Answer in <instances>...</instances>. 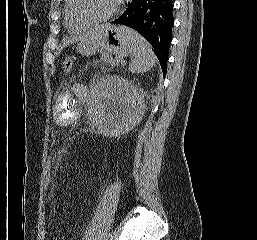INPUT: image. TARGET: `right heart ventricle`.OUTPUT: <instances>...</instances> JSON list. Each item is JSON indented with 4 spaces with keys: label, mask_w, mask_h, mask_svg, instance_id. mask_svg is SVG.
Segmentation results:
<instances>
[{
    "label": "right heart ventricle",
    "mask_w": 257,
    "mask_h": 240,
    "mask_svg": "<svg viewBox=\"0 0 257 240\" xmlns=\"http://www.w3.org/2000/svg\"><path fill=\"white\" fill-rule=\"evenodd\" d=\"M64 24L66 29L72 33L86 30L92 25L78 18L74 10V0H65Z\"/></svg>",
    "instance_id": "e07e8e85"
}]
</instances>
